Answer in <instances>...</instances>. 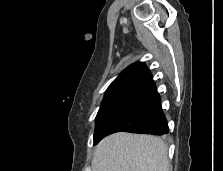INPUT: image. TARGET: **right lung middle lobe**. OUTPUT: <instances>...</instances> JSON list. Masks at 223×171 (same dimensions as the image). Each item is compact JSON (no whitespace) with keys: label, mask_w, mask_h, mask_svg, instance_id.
I'll return each instance as SVG.
<instances>
[{"label":"right lung middle lobe","mask_w":223,"mask_h":171,"mask_svg":"<svg viewBox=\"0 0 223 171\" xmlns=\"http://www.w3.org/2000/svg\"><path fill=\"white\" fill-rule=\"evenodd\" d=\"M135 99L134 97H112L102 101L96 116L94 144L101 139L105 129L119 117Z\"/></svg>","instance_id":"right-lung-middle-lobe-1"}]
</instances>
